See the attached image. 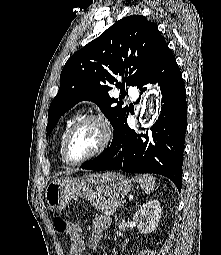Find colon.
Here are the masks:
<instances>
[{"label":"colon","mask_w":221,"mask_h":255,"mask_svg":"<svg viewBox=\"0 0 221 255\" xmlns=\"http://www.w3.org/2000/svg\"><path fill=\"white\" fill-rule=\"evenodd\" d=\"M54 226L57 231L67 232L71 235L77 234L79 231V228L77 226L69 223L67 220L59 216L54 218Z\"/></svg>","instance_id":"obj_1"}]
</instances>
